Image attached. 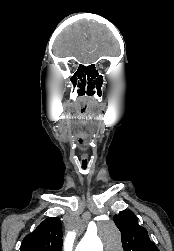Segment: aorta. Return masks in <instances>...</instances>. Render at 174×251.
Returning <instances> with one entry per match:
<instances>
[{
    "label": "aorta",
    "mask_w": 174,
    "mask_h": 251,
    "mask_svg": "<svg viewBox=\"0 0 174 251\" xmlns=\"http://www.w3.org/2000/svg\"><path fill=\"white\" fill-rule=\"evenodd\" d=\"M105 247L107 251H118L121 246V238L114 225H106L103 228ZM75 251H103V244L97 238L84 237L77 245Z\"/></svg>",
    "instance_id": "aorta-1"
}]
</instances>
